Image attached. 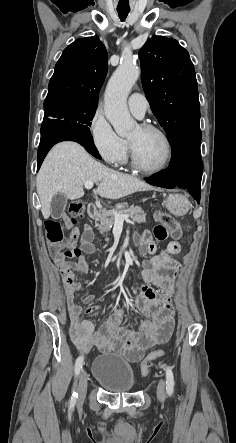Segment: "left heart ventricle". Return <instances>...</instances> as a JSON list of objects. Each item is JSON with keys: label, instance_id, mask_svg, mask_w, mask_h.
<instances>
[{"label": "left heart ventricle", "instance_id": "b2bd125f", "mask_svg": "<svg viewBox=\"0 0 236 443\" xmlns=\"http://www.w3.org/2000/svg\"><path fill=\"white\" fill-rule=\"evenodd\" d=\"M128 139L133 143L140 163L146 168L161 166L167 156V147L162 136L154 131H145L137 126Z\"/></svg>", "mask_w": 236, "mask_h": 443}]
</instances>
